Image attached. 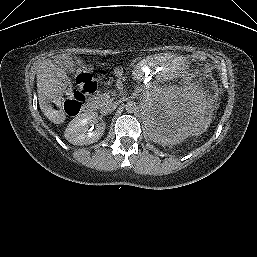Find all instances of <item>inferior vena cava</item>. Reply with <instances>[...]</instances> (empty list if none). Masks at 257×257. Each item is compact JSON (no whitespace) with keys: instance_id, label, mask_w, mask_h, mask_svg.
I'll return each mask as SVG.
<instances>
[{"instance_id":"obj_1","label":"inferior vena cava","mask_w":257,"mask_h":257,"mask_svg":"<svg viewBox=\"0 0 257 257\" xmlns=\"http://www.w3.org/2000/svg\"><path fill=\"white\" fill-rule=\"evenodd\" d=\"M117 107L115 102L107 101L105 105L102 107L101 112L103 114L111 113Z\"/></svg>"}]
</instances>
